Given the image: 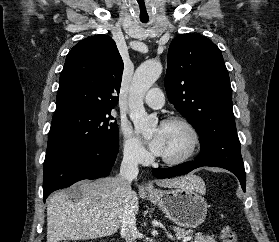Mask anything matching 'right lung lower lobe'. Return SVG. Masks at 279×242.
Segmentation results:
<instances>
[{
    "label": "right lung lower lobe",
    "mask_w": 279,
    "mask_h": 242,
    "mask_svg": "<svg viewBox=\"0 0 279 242\" xmlns=\"http://www.w3.org/2000/svg\"><path fill=\"white\" fill-rule=\"evenodd\" d=\"M119 145L85 147L45 160L43 165V200L53 191L66 188L83 179L109 175Z\"/></svg>",
    "instance_id": "right-lung-lower-lobe-1"
}]
</instances>
